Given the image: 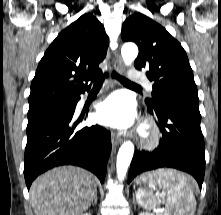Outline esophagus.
I'll return each instance as SVG.
<instances>
[{
    "mask_svg": "<svg viewBox=\"0 0 221 215\" xmlns=\"http://www.w3.org/2000/svg\"><path fill=\"white\" fill-rule=\"evenodd\" d=\"M114 67H115V71L118 74H122V72H123V63H122V59H121V56H120L118 50L115 51V66ZM114 82H117V81L114 80ZM122 141H123V139L121 137H119L115 133H112V143H113V145H118Z\"/></svg>",
    "mask_w": 221,
    "mask_h": 215,
    "instance_id": "34e87169",
    "label": "esophagus"
}]
</instances>
